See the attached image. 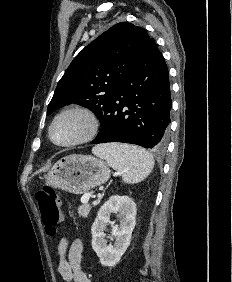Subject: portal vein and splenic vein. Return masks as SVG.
<instances>
[{
	"label": "portal vein and splenic vein",
	"mask_w": 232,
	"mask_h": 282,
	"mask_svg": "<svg viewBox=\"0 0 232 282\" xmlns=\"http://www.w3.org/2000/svg\"><path fill=\"white\" fill-rule=\"evenodd\" d=\"M92 196V192L90 193H86L81 197V202L82 203H87L90 199V197ZM96 204V203H95Z\"/></svg>",
	"instance_id": "obj_1"
}]
</instances>
